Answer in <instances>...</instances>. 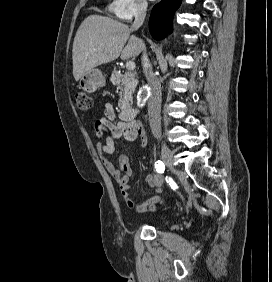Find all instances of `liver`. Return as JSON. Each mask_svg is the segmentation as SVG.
<instances>
[{
	"mask_svg": "<svg viewBox=\"0 0 272 282\" xmlns=\"http://www.w3.org/2000/svg\"><path fill=\"white\" fill-rule=\"evenodd\" d=\"M131 32L128 25L110 17L95 14L84 19L73 42L75 80H80L93 68L119 56L122 60L137 57L143 50L144 43L136 36H130Z\"/></svg>",
	"mask_w": 272,
	"mask_h": 282,
	"instance_id": "obj_1",
	"label": "liver"
}]
</instances>
